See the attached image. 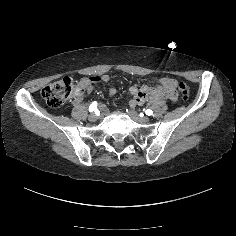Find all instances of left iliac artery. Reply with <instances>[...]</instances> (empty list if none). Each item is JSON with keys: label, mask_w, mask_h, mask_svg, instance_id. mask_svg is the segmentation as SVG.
Here are the masks:
<instances>
[{"label": "left iliac artery", "mask_w": 236, "mask_h": 236, "mask_svg": "<svg viewBox=\"0 0 236 236\" xmlns=\"http://www.w3.org/2000/svg\"><path fill=\"white\" fill-rule=\"evenodd\" d=\"M145 113H146V115H148V116L153 115V111L150 110V109H147V110L145 111Z\"/></svg>", "instance_id": "1"}]
</instances>
